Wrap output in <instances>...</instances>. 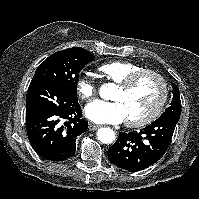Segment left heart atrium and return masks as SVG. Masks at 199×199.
I'll use <instances>...</instances> for the list:
<instances>
[{
	"label": "left heart atrium",
	"instance_id": "obj_1",
	"mask_svg": "<svg viewBox=\"0 0 199 199\" xmlns=\"http://www.w3.org/2000/svg\"><path fill=\"white\" fill-rule=\"evenodd\" d=\"M85 115L98 124H118L126 118V111L120 101L96 100L85 107Z\"/></svg>",
	"mask_w": 199,
	"mask_h": 199
}]
</instances>
